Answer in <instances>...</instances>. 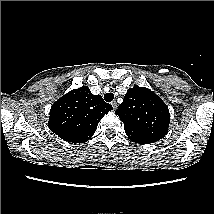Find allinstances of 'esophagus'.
Wrapping results in <instances>:
<instances>
[{
    "mask_svg": "<svg viewBox=\"0 0 214 214\" xmlns=\"http://www.w3.org/2000/svg\"><path fill=\"white\" fill-rule=\"evenodd\" d=\"M111 105H112L114 110L117 108V102L116 101H112Z\"/></svg>",
    "mask_w": 214,
    "mask_h": 214,
    "instance_id": "1",
    "label": "esophagus"
}]
</instances>
